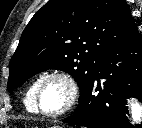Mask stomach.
Wrapping results in <instances>:
<instances>
[{"label":"stomach","instance_id":"0dacf381","mask_svg":"<svg viewBox=\"0 0 142 128\" xmlns=\"http://www.w3.org/2000/svg\"><path fill=\"white\" fill-rule=\"evenodd\" d=\"M52 128H60V127H58V126H53Z\"/></svg>","mask_w":142,"mask_h":128}]
</instances>
